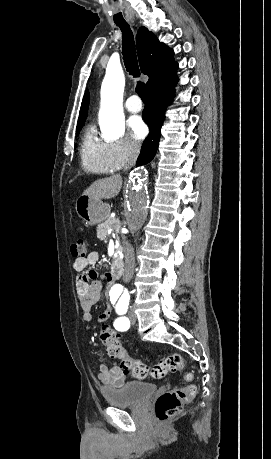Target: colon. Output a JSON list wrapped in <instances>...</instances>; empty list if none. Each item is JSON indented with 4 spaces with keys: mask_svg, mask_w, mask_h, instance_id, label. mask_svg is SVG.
I'll use <instances>...</instances> for the list:
<instances>
[{
    "mask_svg": "<svg viewBox=\"0 0 271 459\" xmlns=\"http://www.w3.org/2000/svg\"><path fill=\"white\" fill-rule=\"evenodd\" d=\"M70 252L75 258L84 257L86 255L85 241L78 239L73 242L70 246ZM99 336L108 355L120 360L121 368L130 371L136 379H145L148 376L161 379L168 373H183L187 382L192 380V374L184 371V360L180 354H172L150 368L142 361L129 357L126 349L120 343L119 335L108 325L102 326ZM194 395L195 388L192 385L175 388L161 394L155 402L156 418L160 422H164L176 416L182 405L190 401Z\"/></svg>",
    "mask_w": 271,
    "mask_h": 459,
    "instance_id": "1",
    "label": "colon"
}]
</instances>
